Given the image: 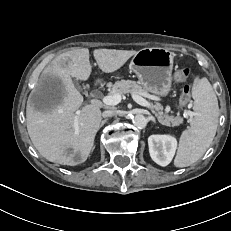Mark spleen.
<instances>
[{
    "label": "spleen",
    "mask_w": 231,
    "mask_h": 231,
    "mask_svg": "<svg viewBox=\"0 0 231 231\" xmlns=\"http://www.w3.org/2000/svg\"><path fill=\"white\" fill-rule=\"evenodd\" d=\"M194 118L180 137L174 165L182 168L198 161L211 145L219 117L218 100L207 78H199L192 89Z\"/></svg>",
    "instance_id": "1"
}]
</instances>
